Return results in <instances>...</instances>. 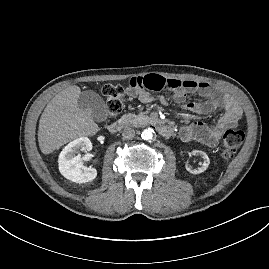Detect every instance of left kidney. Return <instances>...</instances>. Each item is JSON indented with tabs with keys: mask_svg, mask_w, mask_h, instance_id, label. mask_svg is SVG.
Masks as SVG:
<instances>
[{
	"mask_svg": "<svg viewBox=\"0 0 269 269\" xmlns=\"http://www.w3.org/2000/svg\"><path fill=\"white\" fill-rule=\"evenodd\" d=\"M192 154L193 155H199L203 158V162L200 164L201 166L200 167H197V168H192L188 163L185 165L186 166V170L188 172H190L191 174H200L202 172H204L209 164H210V159L209 157L207 156V154L203 151H200V150H194L192 151Z\"/></svg>",
	"mask_w": 269,
	"mask_h": 269,
	"instance_id": "obj_1",
	"label": "left kidney"
}]
</instances>
